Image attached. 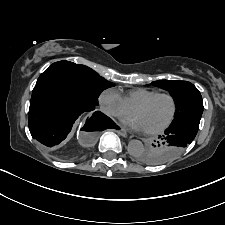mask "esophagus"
Masks as SVG:
<instances>
[{"mask_svg":"<svg viewBox=\"0 0 225 225\" xmlns=\"http://www.w3.org/2000/svg\"><path fill=\"white\" fill-rule=\"evenodd\" d=\"M116 132L123 137H125L127 135L126 130L120 125H118Z\"/></svg>","mask_w":225,"mask_h":225,"instance_id":"esophagus-1","label":"esophagus"}]
</instances>
